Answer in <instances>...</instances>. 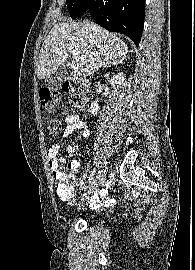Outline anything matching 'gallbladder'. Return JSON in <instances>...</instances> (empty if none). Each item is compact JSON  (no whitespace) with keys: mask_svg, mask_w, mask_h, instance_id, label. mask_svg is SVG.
I'll list each match as a JSON object with an SVG mask.
<instances>
[{"mask_svg":"<svg viewBox=\"0 0 195 270\" xmlns=\"http://www.w3.org/2000/svg\"><path fill=\"white\" fill-rule=\"evenodd\" d=\"M70 77V66L69 64L63 63L60 65L51 76L45 79V85L50 90H58L64 81Z\"/></svg>","mask_w":195,"mask_h":270,"instance_id":"obj_1","label":"gallbladder"}]
</instances>
